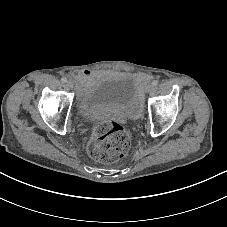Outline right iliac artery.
Masks as SVG:
<instances>
[{
    "label": "right iliac artery",
    "instance_id": "82829eb1",
    "mask_svg": "<svg viewBox=\"0 0 227 227\" xmlns=\"http://www.w3.org/2000/svg\"><path fill=\"white\" fill-rule=\"evenodd\" d=\"M61 81H62L63 83H65V82H67V79H66L65 77H63V78H61Z\"/></svg>",
    "mask_w": 227,
    "mask_h": 227
}]
</instances>
